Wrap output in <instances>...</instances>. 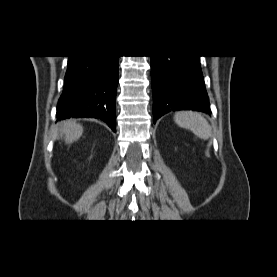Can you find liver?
<instances>
[{
  "mask_svg": "<svg viewBox=\"0 0 277 277\" xmlns=\"http://www.w3.org/2000/svg\"><path fill=\"white\" fill-rule=\"evenodd\" d=\"M60 127L61 137H64L67 144L78 140L83 133V127L74 121H64L61 123Z\"/></svg>",
  "mask_w": 277,
  "mask_h": 277,
  "instance_id": "1",
  "label": "liver"
}]
</instances>
